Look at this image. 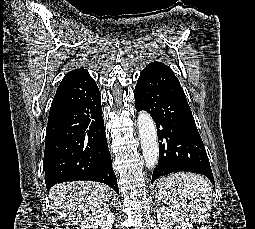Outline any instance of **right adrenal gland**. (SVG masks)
Segmentation results:
<instances>
[{
    "label": "right adrenal gland",
    "mask_w": 255,
    "mask_h": 229,
    "mask_svg": "<svg viewBox=\"0 0 255 229\" xmlns=\"http://www.w3.org/2000/svg\"><path fill=\"white\" fill-rule=\"evenodd\" d=\"M110 205H117V199L115 197L112 199Z\"/></svg>",
    "instance_id": "2a0ac1e0"
}]
</instances>
